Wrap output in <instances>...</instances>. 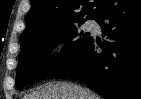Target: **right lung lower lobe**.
<instances>
[{"instance_id": "1", "label": "right lung lower lobe", "mask_w": 141, "mask_h": 99, "mask_svg": "<svg viewBox=\"0 0 141 99\" xmlns=\"http://www.w3.org/2000/svg\"><path fill=\"white\" fill-rule=\"evenodd\" d=\"M96 21L108 40L91 38L55 76L79 79L106 99H141V0H114Z\"/></svg>"}]
</instances>
